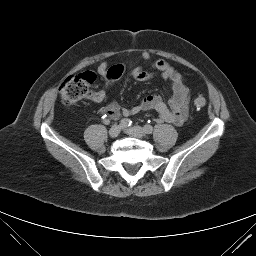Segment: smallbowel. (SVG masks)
Wrapping results in <instances>:
<instances>
[{"instance_id": "c3829d8e", "label": "small bowel", "mask_w": 256, "mask_h": 256, "mask_svg": "<svg viewBox=\"0 0 256 256\" xmlns=\"http://www.w3.org/2000/svg\"><path fill=\"white\" fill-rule=\"evenodd\" d=\"M141 57L143 60L148 61L151 55L148 51H143ZM98 73L104 80L105 87L90 94L89 97L94 102L103 101L106 96V89L126 73L137 81H147L155 75H160L171 83L173 89V94L168 104L158 94L148 95L130 108L121 107L116 102H109L105 107L107 119H116L120 116H131L142 111L154 110L159 120L163 122L181 126L187 120L189 115L190 88L182 74L167 61L163 59L154 61L151 65V70L135 67L128 72L122 64L110 66L103 62L98 67Z\"/></svg>"}]
</instances>
